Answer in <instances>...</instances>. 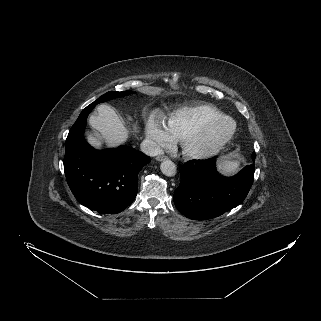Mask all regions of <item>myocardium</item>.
Listing matches in <instances>:
<instances>
[{"instance_id": "myocardium-1", "label": "myocardium", "mask_w": 321, "mask_h": 321, "mask_svg": "<svg viewBox=\"0 0 321 321\" xmlns=\"http://www.w3.org/2000/svg\"><path fill=\"white\" fill-rule=\"evenodd\" d=\"M226 124L227 131L210 146L200 148L196 143L214 127ZM236 133V123L228 116L211 119L186 134L181 140L183 153L193 159H207L217 155L232 140Z\"/></svg>"}]
</instances>
